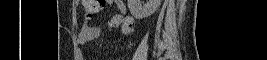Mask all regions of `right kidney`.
<instances>
[{
    "label": "right kidney",
    "mask_w": 267,
    "mask_h": 60,
    "mask_svg": "<svg viewBox=\"0 0 267 60\" xmlns=\"http://www.w3.org/2000/svg\"><path fill=\"white\" fill-rule=\"evenodd\" d=\"M127 2L130 13L136 19H143L152 15L158 9L161 0H147L144 5L141 4V0H128Z\"/></svg>",
    "instance_id": "obj_1"
}]
</instances>
